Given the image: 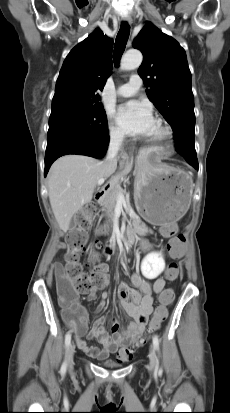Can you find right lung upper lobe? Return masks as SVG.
Returning <instances> with one entry per match:
<instances>
[{"label":"right lung upper lobe","mask_w":230,"mask_h":413,"mask_svg":"<svg viewBox=\"0 0 230 413\" xmlns=\"http://www.w3.org/2000/svg\"><path fill=\"white\" fill-rule=\"evenodd\" d=\"M113 41L95 29L66 57L56 82L52 111L102 107V91L112 71Z\"/></svg>","instance_id":"1"}]
</instances>
